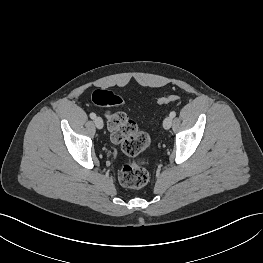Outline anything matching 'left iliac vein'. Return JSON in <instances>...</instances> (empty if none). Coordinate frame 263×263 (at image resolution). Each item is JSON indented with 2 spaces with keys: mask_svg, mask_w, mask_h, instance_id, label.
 <instances>
[{
  "mask_svg": "<svg viewBox=\"0 0 263 263\" xmlns=\"http://www.w3.org/2000/svg\"><path fill=\"white\" fill-rule=\"evenodd\" d=\"M171 125H172V117L167 116V117L164 119V121H163V127H164L165 129H170Z\"/></svg>",
  "mask_w": 263,
  "mask_h": 263,
  "instance_id": "4c4485c4",
  "label": "left iliac vein"
}]
</instances>
